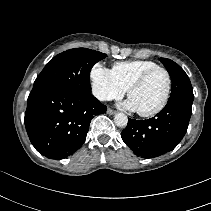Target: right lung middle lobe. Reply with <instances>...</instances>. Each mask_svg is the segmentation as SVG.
Segmentation results:
<instances>
[{"mask_svg": "<svg viewBox=\"0 0 211 211\" xmlns=\"http://www.w3.org/2000/svg\"><path fill=\"white\" fill-rule=\"evenodd\" d=\"M106 54L74 48L58 54L50 60L38 75L33 89L55 88L79 95L91 94L90 71Z\"/></svg>", "mask_w": 211, "mask_h": 211, "instance_id": "right-lung-middle-lobe-1", "label": "right lung middle lobe"}]
</instances>
